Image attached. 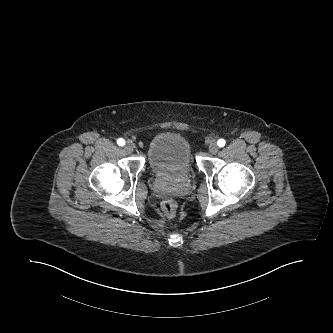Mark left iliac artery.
Segmentation results:
<instances>
[{"label": "left iliac artery", "instance_id": "1", "mask_svg": "<svg viewBox=\"0 0 333 333\" xmlns=\"http://www.w3.org/2000/svg\"><path fill=\"white\" fill-rule=\"evenodd\" d=\"M225 144H226V141H225L224 139H219V140L217 141V145H218L219 147H223V146H225Z\"/></svg>", "mask_w": 333, "mask_h": 333}]
</instances>
